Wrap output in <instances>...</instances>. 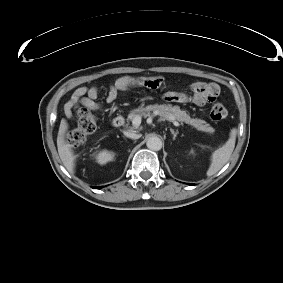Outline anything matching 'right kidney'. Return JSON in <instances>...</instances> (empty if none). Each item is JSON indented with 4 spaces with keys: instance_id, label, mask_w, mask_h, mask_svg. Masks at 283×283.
I'll use <instances>...</instances> for the list:
<instances>
[{
    "instance_id": "ca27d5eb",
    "label": "right kidney",
    "mask_w": 283,
    "mask_h": 283,
    "mask_svg": "<svg viewBox=\"0 0 283 283\" xmlns=\"http://www.w3.org/2000/svg\"><path fill=\"white\" fill-rule=\"evenodd\" d=\"M114 157V154L109 151H101L97 155V162L99 164H106L107 162L111 161Z\"/></svg>"
}]
</instances>
